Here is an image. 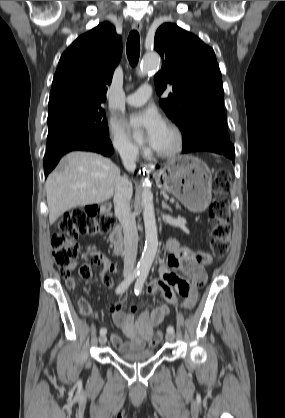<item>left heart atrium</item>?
Returning <instances> with one entry per match:
<instances>
[{
	"instance_id": "1",
	"label": "left heart atrium",
	"mask_w": 285,
	"mask_h": 418,
	"mask_svg": "<svg viewBox=\"0 0 285 418\" xmlns=\"http://www.w3.org/2000/svg\"><path fill=\"white\" fill-rule=\"evenodd\" d=\"M131 126L137 130H143L146 141L156 147L162 134L166 130L163 117L153 108L137 111L131 115Z\"/></svg>"
}]
</instances>
